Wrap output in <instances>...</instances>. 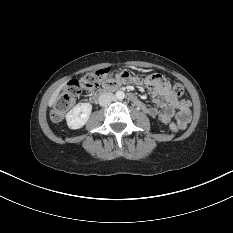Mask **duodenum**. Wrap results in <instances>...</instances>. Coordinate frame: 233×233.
Segmentation results:
<instances>
[{"mask_svg":"<svg viewBox=\"0 0 233 233\" xmlns=\"http://www.w3.org/2000/svg\"><path fill=\"white\" fill-rule=\"evenodd\" d=\"M110 89H111V87H106V89H105L101 94L108 92ZM101 94H100V95H101ZM100 95L95 96V97L93 98V100H94V101H97V100L99 99V96H100ZM129 98H130V100H131L134 104L140 105V100H139L134 94H129Z\"/></svg>","mask_w":233,"mask_h":233,"instance_id":"410a0bca","label":"duodenum"}]
</instances>
